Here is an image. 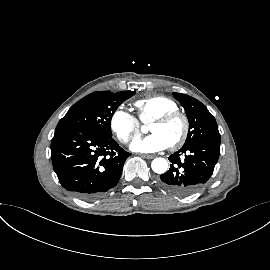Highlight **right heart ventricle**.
<instances>
[{
  "mask_svg": "<svg viewBox=\"0 0 270 270\" xmlns=\"http://www.w3.org/2000/svg\"><path fill=\"white\" fill-rule=\"evenodd\" d=\"M134 105L142 122H151L158 116L178 110L177 103L169 97L156 95L137 100Z\"/></svg>",
  "mask_w": 270,
  "mask_h": 270,
  "instance_id": "right-heart-ventricle-1",
  "label": "right heart ventricle"
}]
</instances>
